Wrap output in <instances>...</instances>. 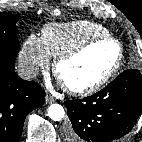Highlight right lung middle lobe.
Masks as SVG:
<instances>
[{"label":"right lung middle lobe","instance_id":"right-lung-middle-lobe-1","mask_svg":"<svg viewBox=\"0 0 142 142\" xmlns=\"http://www.w3.org/2000/svg\"><path fill=\"white\" fill-rule=\"evenodd\" d=\"M14 15L0 13V59L15 64V58L20 48L16 35V22Z\"/></svg>","mask_w":142,"mask_h":142}]
</instances>
